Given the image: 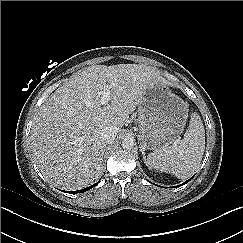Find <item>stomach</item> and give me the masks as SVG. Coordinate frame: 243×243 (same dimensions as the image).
<instances>
[{
    "mask_svg": "<svg viewBox=\"0 0 243 243\" xmlns=\"http://www.w3.org/2000/svg\"><path fill=\"white\" fill-rule=\"evenodd\" d=\"M188 105L161 82L149 87L139 105L138 126L142 149L158 151L183 132Z\"/></svg>",
    "mask_w": 243,
    "mask_h": 243,
    "instance_id": "stomach-1",
    "label": "stomach"
}]
</instances>
